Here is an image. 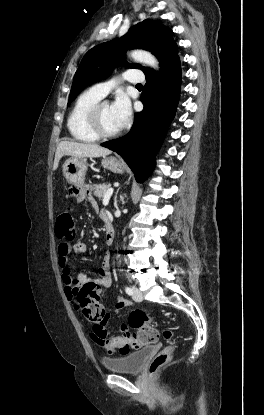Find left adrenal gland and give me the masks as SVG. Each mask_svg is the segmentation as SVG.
I'll return each mask as SVG.
<instances>
[{"label": "left adrenal gland", "instance_id": "1", "mask_svg": "<svg viewBox=\"0 0 264 415\" xmlns=\"http://www.w3.org/2000/svg\"><path fill=\"white\" fill-rule=\"evenodd\" d=\"M114 201H115V204H116V196L114 197Z\"/></svg>", "mask_w": 264, "mask_h": 415}]
</instances>
